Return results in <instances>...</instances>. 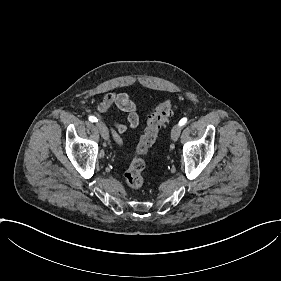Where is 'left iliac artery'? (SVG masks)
I'll list each match as a JSON object with an SVG mask.
<instances>
[{
    "mask_svg": "<svg viewBox=\"0 0 281 281\" xmlns=\"http://www.w3.org/2000/svg\"><path fill=\"white\" fill-rule=\"evenodd\" d=\"M186 122H187V118H182V119L179 121V125L182 126V125H184Z\"/></svg>",
    "mask_w": 281,
    "mask_h": 281,
    "instance_id": "obj_1",
    "label": "left iliac artery"
}]
</instances>
